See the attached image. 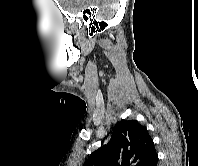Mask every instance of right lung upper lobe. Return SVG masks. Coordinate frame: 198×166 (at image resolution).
Listing matches in <instances>:
<instances>
[{"mask_svg": "<svg viewBox=\"0 0 198 166\" xmlns=\"http://www.w3.org/2000/svg\"><path fill=\"white\" fill-rule=\"evenodd\" d=\"M156 154L147 129L136 120L118 124L107 145L94 151L84 166H146Z\"/></svg>", "mask_w": 198, "mask_h": 166, "instance_id": "obj_1", "label": "right lung upper lobe"}]
</instances>
